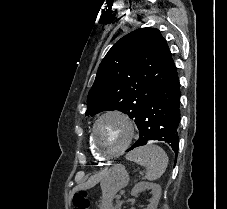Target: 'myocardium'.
I'll return each mask as SVG.
<instances>
[{"instance_id": "obj_1", "label": "myocardium", "mask_w": 227, "mask_h": 209, "mask_svg": "<svg viewBox=\"0 0 227 209\" xmlns=\"http://www.w3.org/2000/svg\"><path fill=\"white\" fill-rule=\"evenodd\" d=\"M110 115H115V116H118L121 119H123L129 126L130 134H129V138L126 141L125 145L122 146L119 150L110 152L107 154H103L99 151L98 146L96 144L95 131H96V127H97L98 123L103 118H105L106 116H110ZM135 133H136V130H135L134 124L127 113H125L124 111L119 110V109H109V110L103 112L101 115H99L98 118L94 121V123L91 127V131H90V141H91V144H92L93 149L95 150L97 156L100 159L107 160V159H112V158H115V157L121 155L124 152V150L126 149V147L131 143Z\"/></svg>"}]
</instances>
